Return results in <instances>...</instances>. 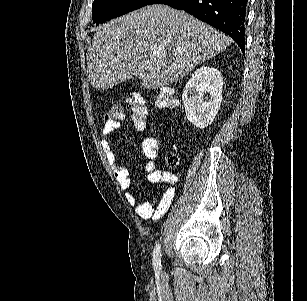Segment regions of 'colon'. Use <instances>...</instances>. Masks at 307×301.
<instances>
[{"instance_id": "obj_1", "label": "colon", "mask_w": 307, "mask_h": 301, "mask_svg": "<svg viewBox=\"0 0 307 301\" xmlns=\"http://www.w3.org/2000/svg\"><path fill=\"white\" fill-rule=\"evenodd\" d=\"M127 103L132 111V125L136 130H143L146 126L149 117L144 97L139 93H132L127 98ZM155 104L159 108L172 109L177 106V99L174 92L169 87H162L159 89L155 98ZM125 118V113L122 107L113 105L104 115L105 122L119 123ZM166 163L170 167H175L178 164V158L175 154H168L166 156Z\"/></svg>"}]
</instances>
